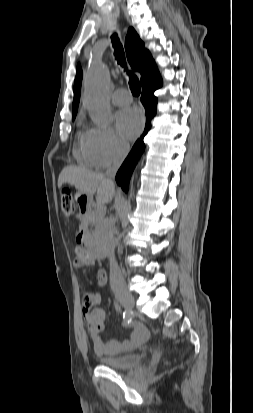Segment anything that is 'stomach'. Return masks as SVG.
Returning a JSON list of instances; mask_svg holds the SVG:
<instances>
[{"label": "stomach", "instance_id": "obj_1", "mask_svg": "<svg viewBox=\"0 0 253 413\" xmlns=\"http://www.w3.org/2000/svg\"><path fill=\"white\" fill-rule=\"evenodd\" d=\"M75 200L79 203L82 202V204H86L87 207L90 205L91 203V196H88L80 191H78L75 194Z\"/></svg>", "mask_w": 253, "mask_h": 413}]
</instances>
